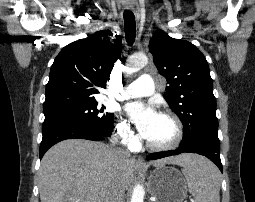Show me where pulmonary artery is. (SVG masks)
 Wrapping results in <instances>:
<instances>
[{"mask_svg": "<svg viewBox=\"0 0 255 202\" xmlns=\"http://www.w3.org/2000/svg\"><path fill=\"white\" fill-rule=\"evenodd\" d=\"M155 90L154 80L149 74L141 75L136 81L125 86L119 94L111 95L120 100L151 95Z\"/></svg>", "mask_w": 255, "mask_h": 202, "instance_id": "obj_1", "label": "pulmonary artery"}]
</instances>
